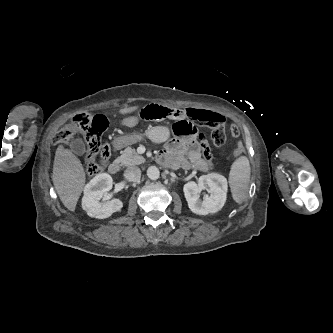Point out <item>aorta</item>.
Wrapping results in <instances>:
<instances>
[{"label": "aorta", "instance_id": "1", "mask_svg": "<svg viewBox=\"0 0 333 333\" xmlns=\"http://www.w3.org/2000/svg\"><path fill=\"white\" fill-rule=\"evenodd\" d=\"M147 176L151 179V180H156L160 177V171L156 166H150L147 169Z\"/></svg>", "mask_w": 333, "mask_h": 333}]
</instances>
